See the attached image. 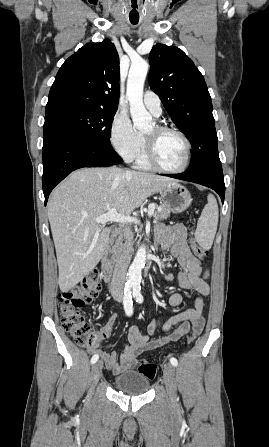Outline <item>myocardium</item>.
I'll use <instances>...</instances> for the list:
<instances>
[{
	"instance_id": "myocardium-1",
	"label": "myocardium",
	"mask_w": 269,
	"mask_h": 447,
	"mask_svg": "<svg viewBox=\"0 0 269 447\" xmlns=\"http://www.w3.org/2000/svg\"><path fill=\"white\" fill-rule=\"evenodd\" d=\"M156 128L160 132H173L175 134H178L184 140L185 146H186L185 159H184L183 164L178 168L165 167L157 158L156 148H155L153 142L149 138L144 136L146 160H147L148 164L155 169H158L160 171L167 172V173H179V172L184 171L188 167L189 162H190V157H191V142H190L188 136L183 131H181L180 129L175 128V127H170L167 125H156Z\"/></svg>"
}]
</instances>
